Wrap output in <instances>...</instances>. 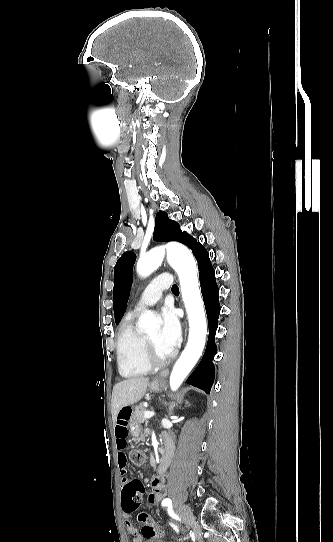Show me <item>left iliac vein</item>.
Listing matches in <instances>:
<instances>
[{
  "label": "left iliac vein",
  "instance_id": "left-iliac-vein-1",
  "mask_svg": "<svg viewBox=\"0 0 333 542\" xmlns=\"http://www.w3.org/2000/svg\"><path fill=\"white\" fill-rule=\"evenodd\" d=\"M177 512L181 516V518L185 521L187 529H190L194 526L195 518L193 516V512L191 508L188 505H184V504L181 505L180 507L177 508Z\"/></svg>",
  "mask_w": 333,
  "mask_h": 542
}]
</instances>
